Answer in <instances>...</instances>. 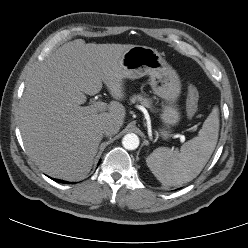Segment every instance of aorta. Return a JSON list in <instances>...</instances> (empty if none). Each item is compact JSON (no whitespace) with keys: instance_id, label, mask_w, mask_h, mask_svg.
Masks as SVG:
<instances>
[{"instance_id":"762f6f07","label":"aorta","mask_w":248,"mask_h":248,"mask_svg":"<svg viewBox=\"0 0 248 248\" xmlns=\"http://www.w3.org/2000/svg\"><path fill=\"white\" fill-rule=\"evenodd\" d=\"M122 144L127 150H135L139 146V138L134 133L126 134L122 139Z\"/></svg>"}]
</instances>
